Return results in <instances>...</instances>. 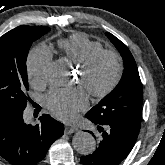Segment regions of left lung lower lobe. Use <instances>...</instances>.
<instances>
[{
	"label": "left lung lower lobe",
	"instance_id": "1",
	"mask_svg": "<svg viewBox=\"0 0 165 165\" xmlns=\"http://www.w3.org/2000/svg\"><path fill=\"white\" fill-rule=\"evenodd\" d=\"M86 116V115H85ZM87 117V116H86ZM100 132L96 150L81 157L83 165H119L130 153L139 130L112 122H98L87 117Z\"/></svg>",
	"mask_w": 165,
	"mask_h": 165
}]
</instances>
